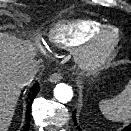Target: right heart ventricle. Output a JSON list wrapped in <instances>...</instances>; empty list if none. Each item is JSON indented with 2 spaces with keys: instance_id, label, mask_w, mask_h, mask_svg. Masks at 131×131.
<instances>
[{
  "instance_id": "right-heart-ventricle-1",
  "label": "right heart ventricle",
  "mask_w": 131,
  "mask_h": 131,
  "mask_svg": "<svg viewBox=\"0 0 131 131\" xmlns=\"http://www.w3.org/2000/svg\"><path fill=\"white\" fill-rule=\"evenodd\" d=\"M102 26H104L103 23L92 19L58 22L51 28L49 40L57 47L70 49L83 43Z\"/></svg>"
}]
</instances>
